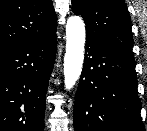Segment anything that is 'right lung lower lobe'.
I'll list each match as a JSON object with an SVG mask.
<instances>
[{
	"label": "right lung lower lobe",
	"mask_w": 147,
	"mask_h": 131,
	"mask_svg": "<svg viewBox=\"0 0 147 131\" xmlns=\"http://www.w3.org/2000/svg\"><path fill=\"white\" fill-rule=\"evenodd\" d=\"M55 34L0 54V131H44Z\"/></svg>",
	"instance_id": "1"
}]
</instances>
